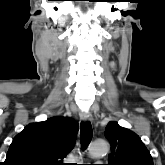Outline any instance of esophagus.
Segmentation results:
<instances>
[{
	"label": "esophagus",
	"mask_w": 165,
	"mask_h": 165,
	"mask_svg": "<svg viewBox=\"0 0 165 165\" xmlns=\"http://www.w3.org/2000/svg\"><path fill=\"white\" fill-rule=\"evenodd\" d=\"M80 119L84 122L92 121V116L89 112L81 111L79 113Z\"/></svg>",
	"instance_id": "34e87169"
}]
</instances>
